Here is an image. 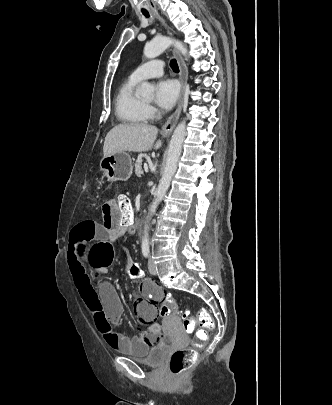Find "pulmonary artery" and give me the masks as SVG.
I'll return each instance as SVG.
<instances>
[{
	"mask_svg": "<svg viewBox=\"0 0 332 405\" xmlns=\"http://www.w3.org/2000/svg\"><path fill=\"white\" fill-rule=\"evenodd\" d=\"M163 68L164 65L161 60H152L136 68L130 77L138 81L158 77L163 74Z\"/></svg>",
	"mask_w": 332,
	"mask_h": 405,
	"instance_id": "obj_1",
	"label": "pulmonary artery"
}]
</instances>
